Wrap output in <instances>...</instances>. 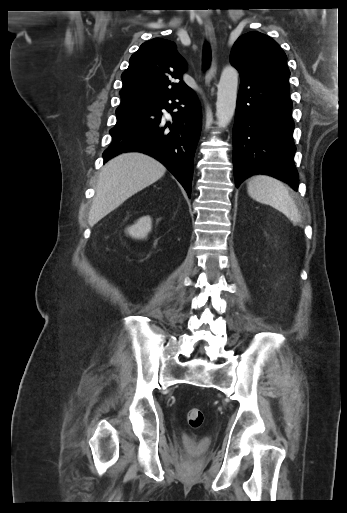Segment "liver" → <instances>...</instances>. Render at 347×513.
<instances>
[{
  "instance_id": "6515ba94",
  "label": "liver",
  "mask_w": 347,
  "mask_h": 513,
  "mask_svg": "<svg viewBox=\"0 0 347 513\" xmlns=\"http://www.w3.org/2000/svg\"><path fill=\"white\" fill-rule=\"evenodd\" d=\"M166 168L154 158L138 152L123 153L101 170L96 195L89 214V225L118 208L125 200L159 180Z\"/></svg>"
}]
</instances>
